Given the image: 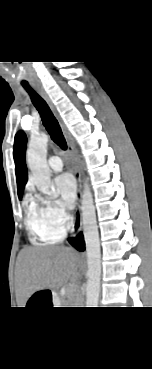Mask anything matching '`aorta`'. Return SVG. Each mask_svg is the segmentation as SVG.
Segmentation results:
<instances>
[{
    "label": "aorta",
    "instance_id": "aorta-1",
    "mask_svg": "<svg viewBox=\"0 0 152 369\" xmlns=\"http://www.w3.org/2000/svg\"><path fill=\"white\" fill-rule=\"evenodd\" d=\"M47 144L46 134L32 136L27 158L33 181L38 190L51 196L54 195V191L51 190V171L46 160ZM81 211L88 264L86 307H97L100 291L101 251L93 195L87 183L84 185L82 194Z\"/></svg>",
    "mask_w": 152,
    "mask_h": 369
}]
</instances>
